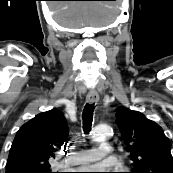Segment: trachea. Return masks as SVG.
<instances>
[{
    "label": "trachea",
    "instance_id": "1",
    "mask_svg": "<svg viewBox=\"0 0 173 173\" xmlns=\"http://www.w3.org/2000/svg\"><path fill=\"white\" fill-rule=\"evenodd\" d=\"M94 104H86L82 113L83 131L88 134L91 130L93 121Z\"/></svg>",
    "mask_w": 173,
    "mask_h": 173
}]
</instances>
